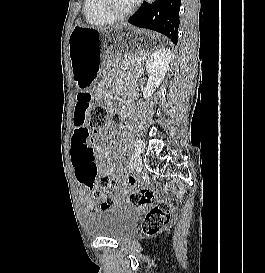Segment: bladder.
Instances as JSON below:
<instances>
[{
	"instance_id": "1",
	"label": "bladder",
	"mask_w": 265,
	"mask_h": 273,
	"mask_svg": "<svg viewBox=\"0 0 265 273\" xmlns=\"http://www.w3.org/2000/svg\"><path fill=\"white\" fill-rule=\"evenodd\" d=\"M138 211L128 204H115L89 213L84 219L87 233L117 241L125 240L136 232Z\"/></svg>"
}]
</instances>
